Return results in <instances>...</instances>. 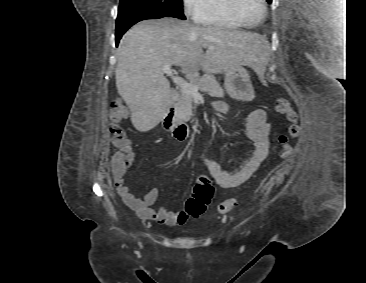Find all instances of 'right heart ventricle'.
Returning <instances> with one entry per match:
<instances>
[{"mask_svg": "<svg viewBox=\"0 0 366 283\" xmlns=\"http://www.w3.org/2000/svg\"><path fill=\"white\" fill-rule=\"evenodd\" d=\"M198 22L224 30H234L241 27L229 13L227 0H207L206 9Z\"/></svg>", "mask_w": 366, "mask_h": 283, "instance_id": "e07e8e85", "label": "right heart ventricle"}]
</instances>
